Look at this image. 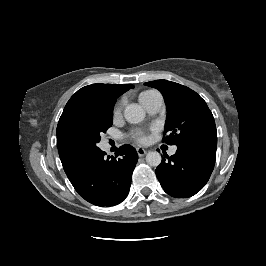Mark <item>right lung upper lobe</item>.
Masks as SVG:
<instances>
[{"mask_svg": "<svg viewBox=\"0 0 266 266\" xmlns=\"http://www.w3.org/2000/svg\"><path fill=\"white\" fill-rule=\"evenodd\" d=\"M130 88L133 85L92 84L79 89L67 102L57 125L56 136L60 160L70 182L80 174L91 156L76 154L68 148L65 142L67 130L95 109L114 105L116 99Z\"/></svg>", "mask_w": 266, "mask_h": 266, "instance_id": "right-lung-upper-lobe-1", "label": "right lung upper lobe"}]
</instances>
